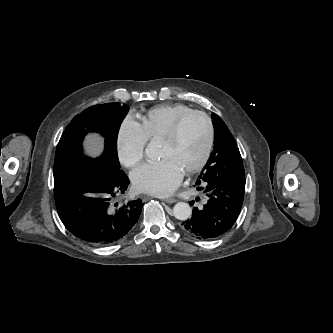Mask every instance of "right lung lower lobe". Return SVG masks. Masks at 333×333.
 Returning a JSON list of instances; mask_svg holds the SVG:
<instances>
[{"label":"right lung lower lobe","instance_id":"98d812e1","mask_svg":"<svg viewBox=\"0 0 333 333\" xmlns=\"http://www.w3.org/2000/svg\"><path fill=\"white\" fill-rule=\"evenodd\" d=\"M128 185L126 174L110 161L55 180V204L62 223L75 237L92 245L120 241L133 229L143 206L141 199L115 203Z\"/></svg>","mask_w":333,"mask_h":333}]
</instances>
